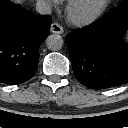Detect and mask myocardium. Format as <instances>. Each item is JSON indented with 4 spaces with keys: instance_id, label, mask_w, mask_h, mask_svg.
<instances>
[{
    "instance_id": "myocardium-1",
    "label": "myocardium",
    "mask_w": 128,
    "mask_h": 128,
    "mask_svg": "<svg viewBox=\"0 0 128 128\" xmlns=\"http://www.w3.org/2000/svg\"><path fill=\"white\" fill-rule=\"evenodd\" d=\"M86 1L87 0H69L66 6L68 19L77 26H85L97 20L110 2V0H97L85 8Z\"/></svg>"
}]
</instances>
